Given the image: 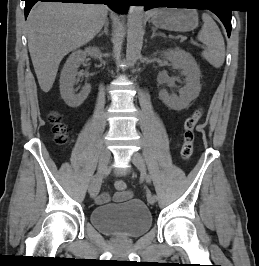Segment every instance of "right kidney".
<instances>
[{
    "label": "right kidney",
    "instance_id": "1",
    "mask_svg": "<svg viewBox=\"0 0 259 266\" xmlns=\"http://www.w3.org/2000/svg\"><path fill=\"white\" fill-rule=\"evenodd\" d=\"M89 55L98 58L100 49L98 47H87L84 50L74 51L67 59L60 76V94L65 103L70 107L80 106L88 97L91 86L86 84L79 94H75L74 83L78 68Z\"/></svg>",
    "mask_w": 259,
    "mask_h": 266
}]
</instances>
